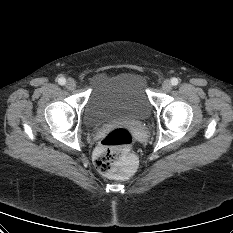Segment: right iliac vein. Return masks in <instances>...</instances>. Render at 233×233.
I'll use <instances>...</instances> for the list:
<instances>
[{
  "label": "right iliac vein",
  "instance_id": "obj_1",
  "mask_svg": "<svg viewBox=\"0 0 233 233\" xmlns=\"http://www.w3.org/2000/svg\"><path fill=\"white\" fill-rule=\"evenodd\" d=\"M66 88L68 90H74L76 88V82L74 79H71L69 78L67 81H66Z\"/></svg>",
  "mask_w": 233,
  "mask_h": 233
}]
</instances>
